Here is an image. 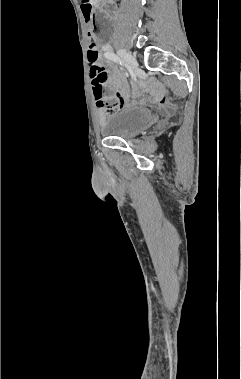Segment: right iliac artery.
Here are the masks:
<instances>
[{"label": "right iliac artery", "instance_id": "obj_1", "mask_svg": "<svg viewBox=\"0 0 241 379\" xmlns=\"http://www.w3.org/2000/svg\"><path fill=\"white\" fill-rule=\"evenodd\" d=\"M104 56L107 59H110V60H112V61H114V62H116V63H118V64H120L122 66H126L125 62L122 59H120L116 54H114L113 52H111V51H106L104 53Z\"/></svg>", "mask_w": 241, "mask_h": 379}]
</instances>
